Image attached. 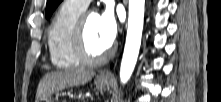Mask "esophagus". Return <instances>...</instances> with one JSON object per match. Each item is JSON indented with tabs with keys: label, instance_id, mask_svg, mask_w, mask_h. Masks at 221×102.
<instances>
[{
	"label": "esophagus",
	"instance_id": "1",
	"mask_svg": "<svg viewBox=\"0 0 221 102\" xmlns=\"http://www.w3.org/2000/svg\"><path fill=\"white\" fill-rule=\"evenodd\" d=\"M110 75L111 74L109 72H106V73L103 74V76H105V77H110Z\"/></svg>",
	"mask_w": 221,
	"mask_h": 102
}]
</instances>
